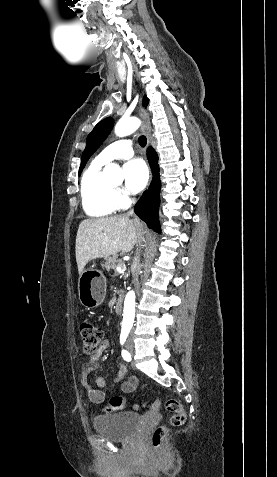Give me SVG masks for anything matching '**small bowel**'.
Returning <instances> with one entry per match:
<instances>
[{"label":"small bowel","instance_id":"c3829d8e","mask_svg":"<svg viewBox=\"0 0 277 477\" xmlns=\"http://www.w3.org/2000/svg\"><path fill=\"white\" fill-rule=\"evenodd\" d=\"M109 347V342L107 340L102 341L98 350L91 355L87 362H85L80 370V381L82 386L87 393L88 398L91 402L99 404L104 402L105 394L101 390L105 387L106 381L103 377L99 376L95 380V384L98 388H96L89 380L90 373L99 368V360L102 355V352ZM113 361L117 366V378L115 382L121 381L127 373V367L124 361L118 356H113ZM138 384V380L135 376H129L121 386V389L125 393L132 392ZM125 403L127 404L126 399Z\"/></svg>","mask_w":277,"mask_h":477}]
</instances>
